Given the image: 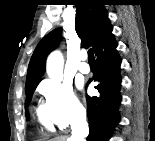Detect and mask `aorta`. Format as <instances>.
Segmentation results:
<instances>
[{"label":"aorta","instance_id":"762f6f07","mask_svg":"<svg viewBox=\"0 0 155 141\" xmlns=\"http://www.w3.org/2000/svg\"><path fill=\"white\" fill-rule=\"evenodd\" d=\"M63 70V56L60 51L52 52L48 59L46 65V71L50 78L58 77Z\"/></svg>","mask_w":155,"mask_h":141}]
</instances>
